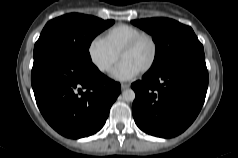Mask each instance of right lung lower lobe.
Segmentation results:
<instances>
[{
	"mask_svg": "<svg viewBox=\"0 0 238 158\" xmlns=\"http://www.w3.org/2000/svg\"><path fill=\"white\" fill-rule=\"evenodd\" d=\"M31 84L45 120L68 138L99 131L120 94V84L93 63L80 61L54 47L34 55Z\"/></svg>",
	"mask_w": 238,
	"mask_h": 158,
	"instance_id": "obj_1",
	"label": "right lung lower lobe"
}]
</instances>
